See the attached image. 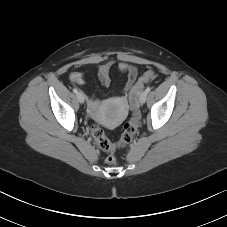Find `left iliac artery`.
I'll list each match as a JSON object with an SVG mask.
<instances>
[{
    "label": "left iliac artery",
    "mask_w": 227,
    "mask_h": 227,
    "mask_svg": "<svg viewBox=\"0 0 227 227\" xmlns=\"http://www.w3.org/2000/svg\"><path fill=\"white\" fill-rule=\"evenodd\" d=\"M147 93H149L151 91V87H147L145 90Z\"/></svg>",
    "instance_id": "obj_1"
}]
</instances>
